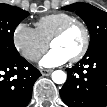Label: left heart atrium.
Returning <instances> with one entry per match:
<instances>
[{
	"instance_id": "obj_1",
	"label": "left heart atrium",
	"mask_w": 107,
	"mask_h": 107,
	"mask_svg": "<svg viewBox=\"0 0 107 107\" xmlns=\"http://www.w3.org/2000/svg\"><path fill=\"white\" fill-rule=\"evenodd\" d=\"M69 57L58 49L52 48L40 61V66L50 68L66 63Z\"/></svg>"
}]
</instances>
